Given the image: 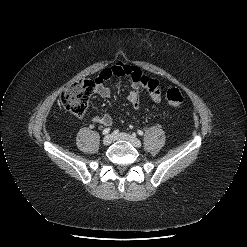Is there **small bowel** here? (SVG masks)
Wrapping results in <instances>:
<instances>
[{
  "mask_svg": "<svg viewBox=\"0 0 247 247\" xmlns=\"http://www.w3.org/2000/svg\"><path fill=\"white\" fill-rule=\"evenodd\" d=\"M112 78H127L131 90L127 95V101L134 108L140 106V96L147 91L151 99L159 103L162 100L161 86L156 79L145 76L140 68L123 63L103 69L96 78V93L103 98L111 96L112 92L104 83ZM92 124L107 126L113 123V117L109 114H97L90 119Z\"/></svg>",
  "mask_w": 247,
  "mask_h": 247,
  "instance_id": "c3829d8e",
  "label": "small bowel"
}]
</instances>
